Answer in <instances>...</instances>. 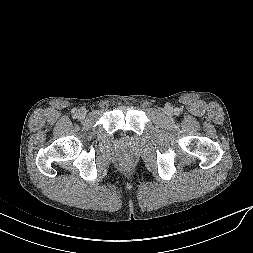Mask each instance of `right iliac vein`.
<instances>
[{
	"instance_id": "1",
	"label": "right iliac vein",
	"mask_w": 253,
	"mask_h": 253,
	"mask_svg": "<svg viewBox=\"0 0 253 253\" xmlns=\"http://www.w3.org/2000/svg\"><path fill=\"white\" fill-rule=\"evenodd\" d=\"M77 116H78L80 119H83V118L86 116V110H84V109H79L78 112H77Z\"/></svg>"
}]
</instances>
